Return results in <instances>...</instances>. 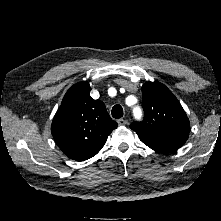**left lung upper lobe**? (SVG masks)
I'll use <instances>...</instances> for the list:
<instances>
[{
    "instance_id": "left-lung-upper-lobe-1",
    "label": "left lung upper lobe",
    "mask_w": 221,
    "mask_h": 221,
    "mask_svg": "<svg viewBox=\"0 0 221 221\" xmlns=\"http://www.w3.org/2000/svg\"><path fill=\"white\" fill-rule=\"evenodd\" d=\"M145 117L130 127L138 135L186 141L190 123L177 98L161 83L147 82L142 86Z\"/></svg>"
}]
</instances>
